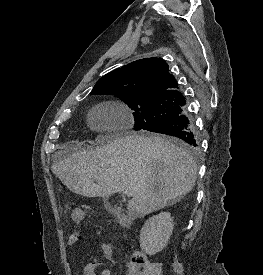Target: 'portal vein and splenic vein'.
Segmentation results:
<instances>
[{
	"label": "portal vein and splenic vein",
	"mask_w": 263,
	"mask_h": 275,
	"mask_svg": "<svg viewBox=\"0 0 263 275\" xmlns=\"http://www.w3.org/2000/svg\"><path fill=\"white\" fill-rule=\"evenodd\" d=\"M124 193L127 195V196H130L131 195V193L129 192V191H124Z\"/></svg>",
	"instance_id": "portal-vein-and-splenic-vein-1"
}]
</instances>
